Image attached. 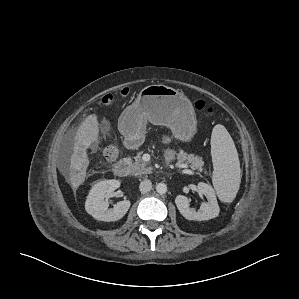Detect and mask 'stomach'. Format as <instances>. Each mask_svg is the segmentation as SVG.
<instances>
[{
    "label": "stomach",
    "instance_id": "1",
    "mask_svg": "<svg viewBox=\"0 0 299 299\" xmlns=\"http://www.w3.org/2000/svg\"><path fill=\"white\" fill-rule=\"evenodd\" d=\"M147 122L170 128L174 138L182 142L191 140L197 126L195 110L187 96L162 84L143 88L120 116L129 137L143 134Z\"/></svg>",
    "mask_w": 299,
    "mask_h": 299
}]
</instances>
